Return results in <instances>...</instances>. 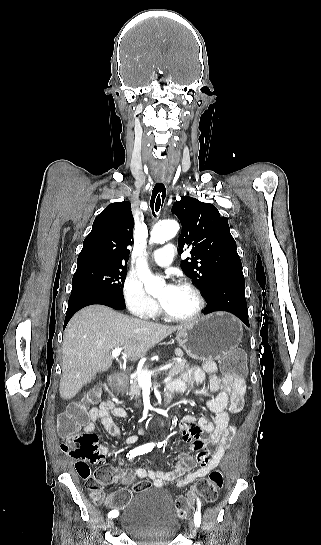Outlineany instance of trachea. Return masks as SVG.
<instances>
[{"label": "trachea", "instance_id": "3493384b", "mask_svg": "<svg viewBox=\"0 0 321 545\" xmlns=\"http://www.w3.org/2000/svg\"><path fill=\"white\" fill-rule=\"evenodd\" d=\"M153 180H154V183H153L154 189L152 191L150 206H151L153 215H156L160 207L163 206V202L165 199V195H166L165 180L166 179L163 174H156Z\"/></svg>", "mask_w": 321, "mask_h": 545}]
</instances>
